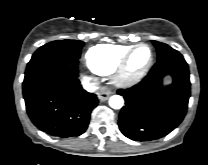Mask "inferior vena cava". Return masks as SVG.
<instances>
[{
    "mask_svg": "<svg viewBox=\"0 0 208 165\" xmlns=\"http://www.w3.org/2000/svg\"><path fill=\"white\" fill-rule=\"evenodd\" d=\"M82 85L86 91L94 92L98 89L99 82L97 80L92 79V78L85 77L82 81Z\"/></svg>",
    "mask_w": 208,
    "mask_h": 165,
    "instance_id": "602c4592",
    "label": "inferior vena cava"
}]
</instances>
